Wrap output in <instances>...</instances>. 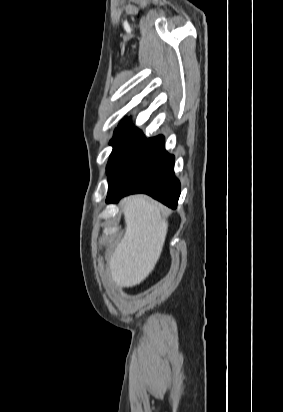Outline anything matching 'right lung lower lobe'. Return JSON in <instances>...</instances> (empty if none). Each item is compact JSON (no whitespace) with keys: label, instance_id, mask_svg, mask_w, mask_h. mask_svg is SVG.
I'll list each match as a JSON object with an SVG mask.
<instances>
[{"label":"right lung lower lobe","instance_id":"1","mask_svg":"<svg viewBox=\"0 0 283 412\" xmlns=\"http://www.w3.org/2000/svg\"><path fill=\"white\" fill-rule=\"evenodd\" d=\"M164 137L142 141L109 174L106 202L123 196L146 193L171 208H176L180 183L174 175V156L164 149Z\"/></svg>","mask_w":283,"mask_h":412}]
</instances>
